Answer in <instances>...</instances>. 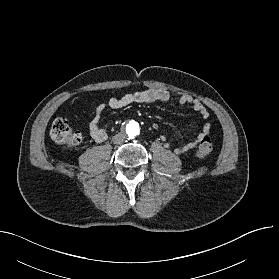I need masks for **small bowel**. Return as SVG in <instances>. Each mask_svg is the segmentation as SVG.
Returning a JSON list of instances; mask_svg holds the SVG:
<instances>
[{
	"label": "small bowel",
	"mask_w": 279,
	"mask_h": 279,
	"mask_svg": "<svg viewBox=\"0 0 279 279\" xmlns=\"http://www.w3.org/2000/svg\"><path fill=\"white\" fill-rule=\"evenodd\" d=\"M169 101L170 94L168 91L155 88L126 93L120 97H111L108 99L106 103H101L96 107L94 116L89 124V134L96 142L99 143L104 142L108 138L107 132L99 124L100 118L107 107L111 109H120L132 104L154 102L168 103ZM179 103L181 105H191L192 109L196 113H198L205 121L203 130L199 135H197L194 139L189 141L183 147L175 149V152L177 154H182L194 148L200 142L203 136H207L210 133L211 123L209 121V111L198 99L193 98L191 95L183 94L179 98Z\"/></svg>",
	"instance_id": "obj_1"
}]
</instances>
